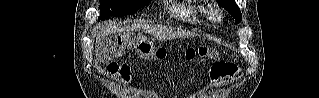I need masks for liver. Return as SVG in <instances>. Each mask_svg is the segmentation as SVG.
Listing matches in <instances>:
<instances>
[{
    "label": "liver",
    "instance_id": "6515ba94",
    "mask_svg": "<svg viewBox=\"0 0 319 98\" xmlns=\"http://www.w3.org/2000/svg\"><path fill=\"white\" fill-rule=\"evenodd\" d=\"M132 30H142L146 33H150L160 41L194 36V34L191 32H187L185 30L176 29V28H172L168 26H161V25H147L142 23H133L126 27H121L115 24H110L109 26L102 28L97 34V49L100 48L99 46L100 40L105 38L106 36L113 33H119L122 31H132ZM97 58L100 62H103V63L106 62L105 60H102L99 55L97 56Z\"/></svg>",
    "mask_w": 319,
    "mask_h": 98
}]
</instances>
